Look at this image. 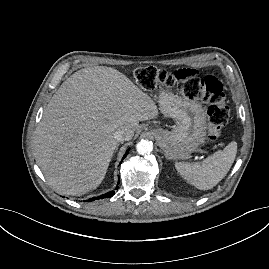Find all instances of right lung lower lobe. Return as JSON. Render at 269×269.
<instances>
[{
	"instance_id": "obj_1",
	"label": "right lung lower lobe",
	"mask_w": 269,
	"mask_h": 269,
	"mask_svg": "<svg viewBox=\"0 0 269 269\" xmlns=\"http://www.w3.org/2000/svg\"><path fill=\"white\" fill-rule=\"evenodd\" d=\"M127 154H128V151L125 153V155L123 156V159L127 156ZM122 159V160H123ZM118 187H116V189H117ZM115 194V191H110V192H108V193H106V194H104V195H101V196H98V197H94V198H90L89 200H88V202H90V201H94V200H97V199H102V198H109V197H111V196H113Z\"/></svg>"
}]
</instances>
